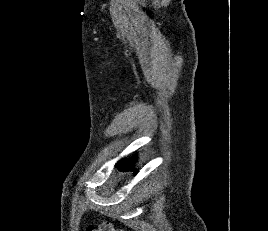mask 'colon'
Masks as SVG:
<instances>
[{"instance_id": "5ec220e1", "label": "colon", "mask_w": 268, "mask_h": 231, "mask_svg": "<svg viewBox=\"0 0 268 231\" xmlns=\"http://www.w3.org/2000/svg\"><path fill=\"white\" fill-rule=\"evenodd\" d=\"M86 231H121L114 229L113 225L109 221H102L96 225L91 224L87 227Z\"/></svg>"}]
</instances>
